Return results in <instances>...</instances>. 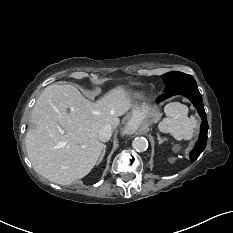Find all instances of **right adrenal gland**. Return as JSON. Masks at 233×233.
Instances as JSON below:
<instances>
[{
    "instance_id": "2a0ac1e0",
    "label": "right adrenal gland",
    "mask_w": 233,
    "mask_h": 233,
    "mask_svg": "<svg viewBox=\"0 0 233 233\" xmlns=\"http://www.w3.org/2000/svg\"><path fill=\"white\" fill-rule=\"evenodd\" d=\"M106 147H107V146L104 145L103 152H102V154H101V156H100V158H99L97 164H99V163L103 160V157H104L105 152H106Z\"/></svg>"
}]
</instances>
